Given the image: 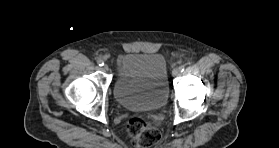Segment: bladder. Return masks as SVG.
<instances>
[{
    "instance_id": "obj_1",
    "label": "bladder",
    "mask_w": 279,
    "mask_h": 148,
    "mask_svg": "<svg viewBox=\"0 0 279 148\" xmlns=\"http://www.w3.org/2000/svg\"><path fill=\"white\" fill-rule=\"evenodd\" d=\"M116 101L129 109H160L168 100L167 66L162 55L128 53L118 63Z\"/></svg>"
}]
</instances>
